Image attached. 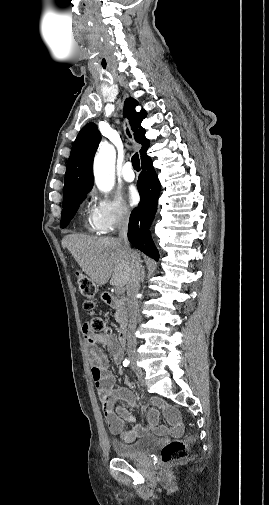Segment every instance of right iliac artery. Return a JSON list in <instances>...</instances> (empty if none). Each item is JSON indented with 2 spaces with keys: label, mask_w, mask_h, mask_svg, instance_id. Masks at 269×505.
<instances>
[{
  "label": "right iliac artery",
  "mask_w": 269,
  "mask_h": 505,
  "mask_svg": "<svg viewBox=\"0 0 269 505\" xmlns=\"http://www.w3.org/2000/svg\"><path fill=\"white\" fill-rule=\"evenodd\" d=\"M129 364H130V361H129L128 359H125V360L123 361V365H124L125 367H127Z\"/></svg>",
  "instance_id": "right-iliac-artery-1"
}]
</instances>
